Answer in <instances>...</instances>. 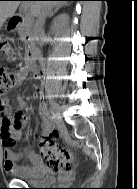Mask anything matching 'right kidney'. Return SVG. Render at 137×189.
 <instances>
[{
    "label": "right kidney",
    "mask_w": 137,
    "mask_h": 189,
    "mask_svg": "<svg viewBox=\"0 0 137 189\" xmlns=\"http://www.w3.org/2000/svg\"><path fill=\"white\" fill-rule=\"evenodd\" d=\"M68 19L69 17L66 14H61L57 16L52 22V27H51L52 31L55 32L58 29L67 25Z\"/></svg>",
    "instance_id": "1"
}]
</instances>
